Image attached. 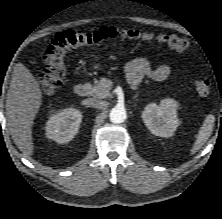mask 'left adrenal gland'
I'll return each mask as SVG.
<instances>
[{
  "mask_svg": "<svg viewBox=\"0 0 222 219\" xmlns=\"http://www.w3.org/2000/svg\"><path fill=\"white\" fill-rule=\"evenodd\" d=\"M137 96H138V94H136V95L134 96V99H135Z\"/></svg>",
  "mask_w": 222,
  "mask_h": 219,
  "instance_id": "obj_1",
  "label": "left adrenal gland"
}]
</instances>
